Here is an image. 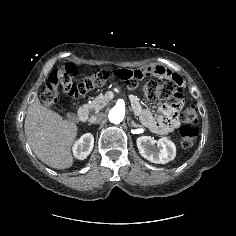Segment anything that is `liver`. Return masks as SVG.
I'll return each instance as SVG.
<instances>
[{"label":"liver","mask_w":236,"mask_h":236,"mask_svg":"<svg viewBox=\"0 0 236 236\" xmlns=\"http://www.w3.org/2000/svg\"><path fill=\"white\" fill-rule=\"evenodd\" d=\"M24 128L27 142L40 161L55 169L73 165L71 146L78 132L75 122L64 120L34 98L27 109Z\"/></svg>","instance_id":"obj_1"}]
</instances>
